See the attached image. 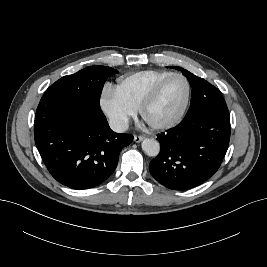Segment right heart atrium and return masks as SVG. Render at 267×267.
I'll list each match as a JSON object with an SVG mask.
<instances>
[{"label": "right heart atrium", "instance_id": "right-heart-atrium-1", "mask_svg": "<svg viewBox=\"0 0 267 267\" xmlns=\"http://www.w3.org/2000/svg\"><path fill=\"white\" fill-rule=\"evenodd\" d=\"M100 107L110 124L116 130L127 128L136 110L127 104L112 87H106L100 96Z\"/></svg>", "mask_w": 267, "mask_h": 267}]
</instances>
